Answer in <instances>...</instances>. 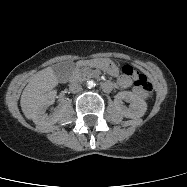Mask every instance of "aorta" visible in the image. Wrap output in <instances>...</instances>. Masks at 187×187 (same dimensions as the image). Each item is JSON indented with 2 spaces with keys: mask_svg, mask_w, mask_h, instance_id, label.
Instances as JSON below:
<instances>
[{
  "mask_svg": "<svg viewBox=\"0 0 187 187\" xmlns=\"http://www.w3.org/2000/svg\"><path fill=\"white\" fill-rule=\"evenodd\" d=\"M87 85H88V88H92L95 86V83L93 81H89Z\"/></svg>",
  "mask_w": 187,
  "mask_h": 187,
  "instance_id": "obj_1",
  "label": "aorta"
}]
</instances>
